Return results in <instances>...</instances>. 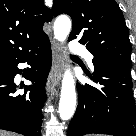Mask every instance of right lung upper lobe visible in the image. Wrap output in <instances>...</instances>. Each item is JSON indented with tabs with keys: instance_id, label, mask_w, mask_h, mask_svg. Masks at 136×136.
Segmentation results:
<instances>
[{
	"instance_id": "right-lung-upper-lobe-1",
	"label": "right lung upper lobe",
	"mask_w": 136,
	"mask_h": 136,
	"mask_svg": "<svg viewBox=\"0 0 136 136\" xmlns=\"http://www.w3.org/2000/svg\"><path fill=\"white\" fill-rule=\"evenodd\" d=\"M51 19V10L40 0H0V62L47 37L43 23Z\"/></svg>"
}]
</instances>
